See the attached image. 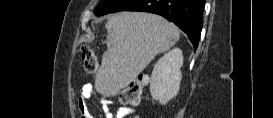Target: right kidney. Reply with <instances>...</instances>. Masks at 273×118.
Segmentation results:
<instances>
[{"label": "right kidney", "instance_id": "right-kidney-1", "mask_svg": "<svg viewBox=\"0 0 273 118\" xmlns=\"http://www.w3.org/2000/svg\"><path fill=\"white\" fill-rule=\"evenodd\" d=\"M182 65L183 55L179 48L172 49L156 62L150 83V93L154 99L165 104L178 94Z\"/></svg>", "mask_w": 273, "mask_h": 118}]
</instances>
